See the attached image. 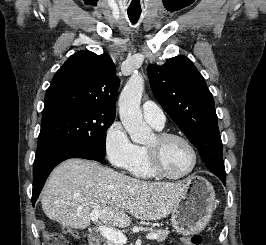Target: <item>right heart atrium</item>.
Segmentation results:
<instances>
[{
    "instance_id": "right-heart-atrium-1",
    "label": "right heart atrium",
    "mask_w": 266,
    "mask_h": 245,
    "mask_svg": "<svg viewBox=\"0 0 266 245\" xmlns=\"http://www.w3.org/2000/svg\"><path fill=\"white\" fill-rule=\"evenodd\" d=\"M104 151L114 167L132 171L140 156L141 148L130 139L123 125L115 121L105 131Z\"/></svg>"
}]
</instances>
